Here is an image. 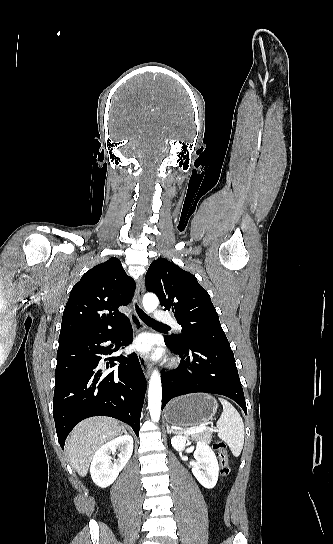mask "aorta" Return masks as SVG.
Returning a JSON list of instances; mask_svg holds the SVG:
<instances>
[{
  "label": "aorta",
  "instance_id": "762f6f07",
  "mask_svg": "<svg viewBox=\"0 0 333 544\" xmlns=\"http://www.w3.org/2000/svg\"><path fill=\"white\" fill-rule=\"evenodd\" d=\"M159 305L157 296L147 293L143 297V307L147 312H153ZM162 387L161 378L157 370L152 372L148 389V409L151 419L158 422L161 414Z\"/></svg>",
  "mask_w": 333,
  "mask_h": 544
}]
</instances>
